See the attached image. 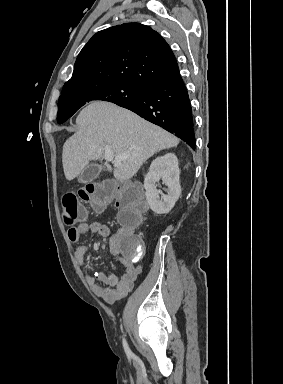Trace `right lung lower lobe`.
Instances as JSON below:
<instances>
[{"label":"right lung lower lobe","mask_w":283,"mask_h":384,"mask_svg":"<svg viewBox=\"0 0 283 384\" xmlns=\"http://www.w3.org/2000/svg\"><path fill=\"white\" fill-rule=\"evenodd\" d=\"M117 105L173 133L195 149L191 104L179 72L152 83L140 98Z\"/></svg>","instance_id":"right-lung-lower-lobe-1"}]
</instances>
